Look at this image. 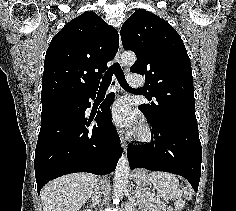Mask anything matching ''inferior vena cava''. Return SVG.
<instances>
[{"label": "inferior vena cava", "instance_id": "inferior-vena-cava-1", "mask_svg": "<svg viewBox=\"0 0 236 211\" xmlns=\"http://www.w3.org/2000/svg\"><path fill=\"white\" fill-rule=\"evenodd\" d=\"M100 188H99V185L98 183L96 184L95 186V189H94V197H92V200H94V202H97L99 200V197H100Z\"/></svg>", "mask_w": 236, "mask_h": 211}]
</instances>
